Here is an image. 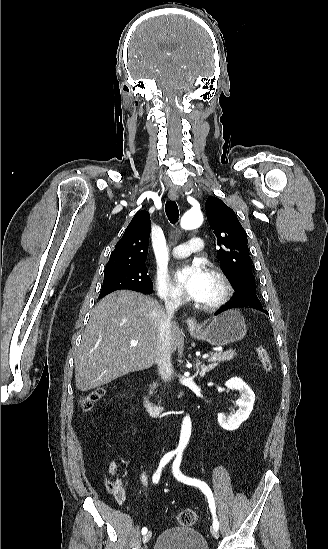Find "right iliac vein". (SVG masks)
<instances>
[{
  "instance_id": "1",
  "label": "right iliac vein",
  "mask_w": 328,
  "mask_h": 549,
  "mask_svg": "<svg viewBox=\"0 0 328 549\" xmlns=\"http://www.w3.org/2000/svg\"><path fill=\"white\" fill-rule=\"evenodd\" d=\"M152 537V531H148L144 536H143V543H147L149 542V540L151 539Z\"/></svg>"
}]
</instances>
